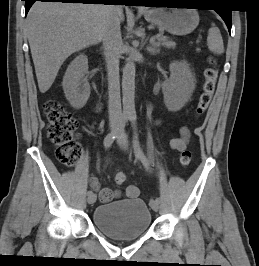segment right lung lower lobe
Instances as JSON below:
<instances>
[{"label":"right lung lower lobe","instance_id":"1","mask_svg":"<svg viewBox=\"0 0 259 266\" xmlns=\"http://www.w3.org/2000/svg\"><path fill=\"white\" fill-rule=\"evenodd\" d=\"M25 1V12L28 13L30 7L35 1L42 2H62V3H84V4H107V3H123L125 6L130 5L129 0H22Z\"/></svg>","mask_w":259,"mask_h":266}]
</instances>
